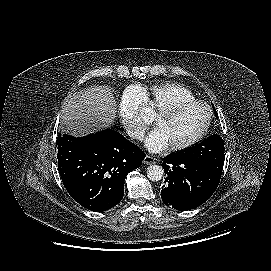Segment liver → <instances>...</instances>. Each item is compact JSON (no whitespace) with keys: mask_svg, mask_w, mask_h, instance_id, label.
Wrapping results in <instances>:
<instances>
[{"mask_svg":"<svg viewBox=\"0 0 271 271\" xmlns=\"http://www.w3.org/2000/svg\"><path fill=\"white\" fill-rule=\"evenodd\" d=\"M116 106L111 89L106 86L90 87L73 95L65 104L61 115L62 129L79 136L85 131L110 127L116 118Z\"/></svg>","mask_w":271,"mask_h":271,"instance_id":"1","label":"liver"}]
</instances>
